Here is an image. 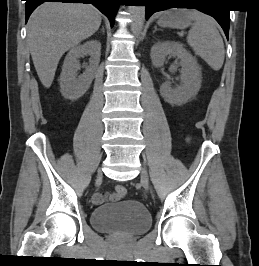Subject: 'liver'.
<instances>
[{
    "instance_id": "6515ba94",
    "label": "liver",
    "mask_w": 259,
    "mask_h": 266,
    "mask_svg": "<svg viewBox=\"0 0 259 266\" xmlns=\"http://www.w3.org/2000/svg\"><path fill=\"white\" fill-rule=\"evenodd\" d=\"M100 25V11L88 4L46 2L35 9L27 24V39L44 87L52 85L62 55L93 35Z\"/></svg>"
}]
</instances>
